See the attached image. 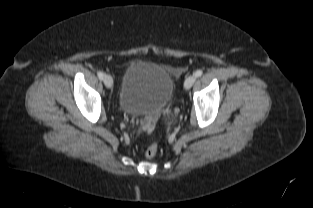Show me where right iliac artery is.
I'll use <instances>...</instances> for the list:
<instances>
[{"instance_id": "82829eb1", "label": "right iliac artery", "mask_w": 313, "mask_h": 208, "mask_svg": "<svg viewBox=\"0 0 313 208\" xmlns=\"http://www.w3.org/2000/svg\"><path fill=\"white\" fill-rule=\"evenodd\" d=\"M97 75H98V78H99L100 80H103V78H104V73H103L102 71H98V72H97Z\"/></svg>"}]
</instances>
